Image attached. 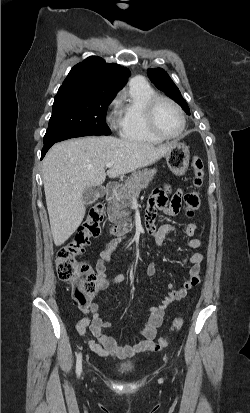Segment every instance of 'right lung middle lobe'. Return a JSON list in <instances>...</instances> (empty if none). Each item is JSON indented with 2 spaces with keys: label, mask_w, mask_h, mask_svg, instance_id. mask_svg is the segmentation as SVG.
<instances>
[{
  "label": "right lung middle lobe",
  "mask_w": 250,
  "mask_h": 413,
  "mask_svg": "<svg viewBox=\"0 0 250 413\" xmlns=\"http://www.w3.org/2000/svg\"><path fill=\"white\" fill-rule=\"evenodd\" d=\"M115 95L116 93L79 87L59 88L54 98L49 126L43 138L44 143L73 132L110 135L106 111Z\"/></svg>",
  "instance_id": "right-lung-middle-lobe-1"
}]
</instances>
